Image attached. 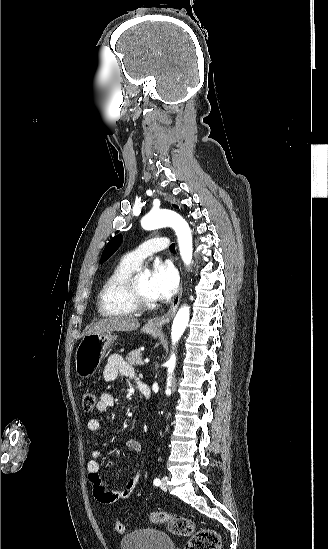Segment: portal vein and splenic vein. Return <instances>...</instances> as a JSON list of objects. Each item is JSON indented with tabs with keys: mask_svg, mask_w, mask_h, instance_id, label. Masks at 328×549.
Here are the masks:
<instances>
[{
	"mask_svg": "<svg viewBox=\"0 0 328 549\" xmlns=\"http://www.w3.org/2000/svg\"><path fill=\"white\" fill-rule=\"evenodd\" d=\"M144 361H149V358H144Z\"/></svg>",
	"mask_w": 328,
	"mask_h": 549,
	"instance_id": "obj_1",
	"label": "portal vein and splenic vein"
}]
</instances>
